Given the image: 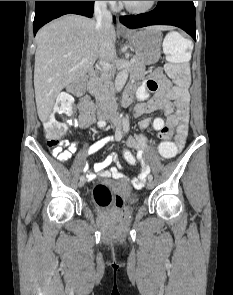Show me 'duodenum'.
<instances>
[{
    "label": "duodenum",
    "instance_id": "duodenum-1",
    "mask_svg": "<svg viewBox=\"0 0 233 295\" xmlns=\"http://www.w3.org/2000/svg\"><path fill=\"white\" fill-rule=\"evenodd\" d=\"M97 74H98L97 69H92L90 71L89 76H90L91 84H93L94 80L97 77ZM126 94H127V97L128 98H132V96H133V89L132 88H128ZM97 112H98V115L100 117H105L107 115L106 102H105L104 98H102V97H98V101H97Z\"/></svg>",
    "mask_w": 233,
    "mask_h": 295
}]
</instances>
